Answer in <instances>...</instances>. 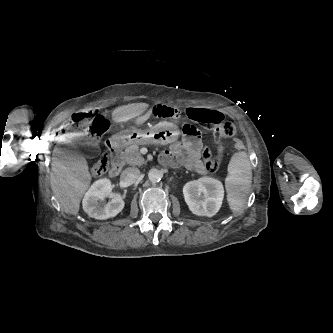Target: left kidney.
<instances>
[{"label": "left kidney", "mask_w": 333, "mask_h": 333, "mask_svg": "<svg viewBox=\"0 0 333 333\" xmlns=\"http://www.w3.org/2000/svg\"><path fill=\"white\" fill-rule=\"evenodd\" d=\"M183 194L192 213L211 217L221 207L224 189L218 179L203 177L186 183L183 187Z\"/></svg>", "instance_id": "5707ae66"}]
</instances>
